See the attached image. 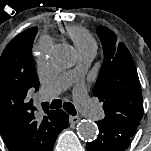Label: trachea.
I'll return each instance as SVG.
<instances>
[{"label": "trachea", "instance_id": "trachea-1", "mask_svg": "<svg viewBox=\"0 0 151 151\" xmlns=\"http://www.w3.org/2000/svg\"><path fill=\"white\" fill-rule=\"evenodd\" d=\"M62 107V101L60 99H55L52 101L50 105V109H58ZM63 108L65 111H67L70 115L75 116L76 115V109L74 105L70 102H64Z\"/></svg>", "mask_w": 151, "mask_h": 151}]
</instances>
